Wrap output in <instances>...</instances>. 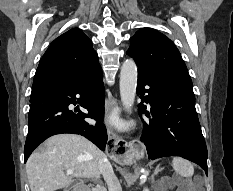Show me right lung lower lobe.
<instances>
[{"mask_svg": "<svg viewBox=\"0 0 233 191\" xmlns=\"http://www.w3.org/2000/svg\"><path fill=\"white\" fill-rule=\"evenodd\" d=\"M88 114L72 111L70 104L80 101ZM105 91L101 67L87 77L74 82L44 81L33 84L28 117L29 129L24 147L26 162L33 150L48 137L61 134H80L105 150L107 132L103 121ZM98 120L95 126L84 119Z\"/></svg>", "mask_w": 233, "mask_h": 191, "instance_id": "98d812e1", "label": "right lung lower lobe"}]
</instances>
